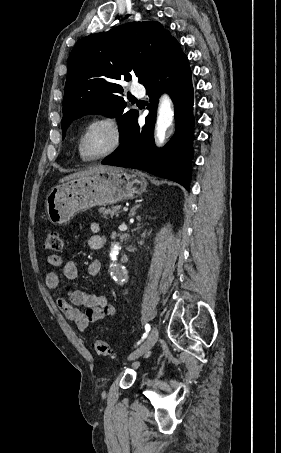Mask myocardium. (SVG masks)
Instances as JSON below:
<instances>
[{
	"label": "myocardium",
	"instance_id": "f54148a6",
	"mask_svg": "<svg viewBox=\"0 0 281 453\" xmlns=\"http://www.w3.org/2000/svg\"><path fill=\"white\" fill-rule=\"evenodd\" d=\"M96 129H103L109 135V140L92 152L86 148V139ZM122 142V133L117 124L109 118H95L89 121L80 131L76 143L75 153L79 160L92 162L114 153Z\"/></svg>",
	"mask_w": 281,
	"mask_h": 453
}]
</instances>
